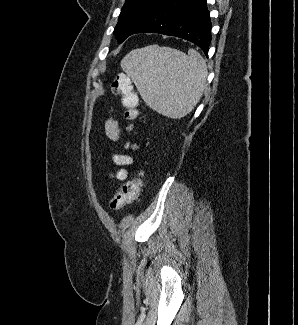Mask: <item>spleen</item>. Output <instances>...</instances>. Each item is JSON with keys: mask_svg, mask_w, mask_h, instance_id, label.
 Here are the masks:
<instances>
[{"mask_svg": "<svg viewBox=\"0 0 298 325\" xmlns=\"http://www.w3.org/2000/svg\"><path fill=\"white\" fill-rule=\"evenodd\" d=\"M147 106L169 118H182L196 106L205 88L206 62L200 52L170 46L134 48L121 60Z\"/></svg>", "mask_w": 298, "mask_h": 325, "instance_id": "1", "label": "spleen"}]
</instances>
